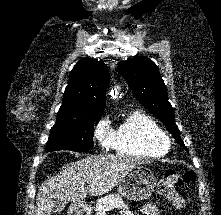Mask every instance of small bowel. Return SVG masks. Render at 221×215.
<instances>
[{"label": "small bowel", "instance_id": "obj_1", "mask_svg": "<svg viewBox=\"0 0 221 215\" xmlns=\"http://www.w3.org/2000/svg\"><path fill=\"white\" fill-rule=\"evenodd\" d=\"M141 213L143 215H160L158 207L153 204H146L142 206ZM120 215H133L129 210H124Z\"/></svg>", "mask_w": 221, "mask_h": 215}]
</instances>
